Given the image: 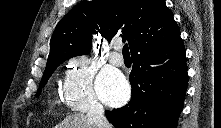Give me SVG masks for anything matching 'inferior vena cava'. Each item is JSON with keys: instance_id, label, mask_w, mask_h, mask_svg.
Wrapping results in <instances>:
<instances>
[{"instance_id": "inferior-vena-cava-1", "label": "inferior vena cava", "mask_w": 221, "mask_h": 128, "mask_svg": "<svg viewBox=\"0 0 221 128\" xmlns=\"http://www.w3.org/2000/svg\"><path fill=\"white\" fill-rule=\"evenodd\" d=\"M87 117L97 128H111V125L104 116L103 106L99 102L93 101L90 103Z\"/></svg>"}]
</instances>
